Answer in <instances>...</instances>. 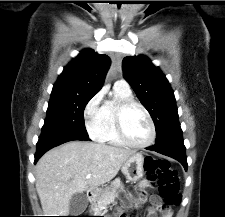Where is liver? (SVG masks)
<instances>
[{"label": "liver", "instance_id": "1", "mask_svg": "<svg viewBox=\"0 0 225 217\" xmlns=\"http://www.w3.org/2000/svg\"><path fill=\"white\" fill-rule=\"evenodd\" d=\"M133 154L131 150L83 141L68 142L46 152L37 162L35 182L45 216H68L75 193L112 180Z\"/></svg>", "mask_w": 225, "mask_h": 217}]
</instances>
